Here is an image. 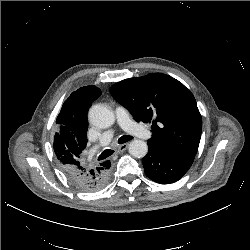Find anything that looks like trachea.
<instances>
[{"label": "trachea", "mask_w": 250, "mask_h": 250, "mask_svg": "<svg viewBox=\"0 0 250 250\" xmlns=\"http://www.w3.org/2000/svg\"><path fill=\"white\" fill-rule=\"evenodd\" d=\"M132 139L133 137H131L130 135H123L122 137L118 139V143L124 144ZM113 153H114V150L106 149L100 154V156L98 157V160L106 159L107 157L111 156Z\"/></svg>", "instance_id": "obj_1"}]
</instances>
